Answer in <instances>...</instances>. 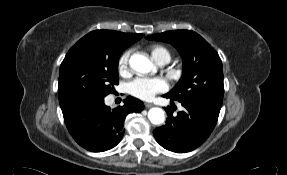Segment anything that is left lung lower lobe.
Listing matches in <instances>:
<instances>
[{
    "label": "left lung lower lobe",
    "instance_id": "obj_1",
    "mask_svg": "<svg viewBox=\"0 0 287 175\" xmlns=\"http://www.w3.org/2000/svg\"><path fill=\"white\" fill-rule=\"evenodd\" d=\"M163 97L169 98L166 94ZM173 102L172 99H170ZM183 111L173 116V111L166 108V124L153 131L156 141L165 149L186 153L199 147L212 133L218 116L208 109L189 102H180Z\"/></svg>",
    "mask_w": 287,
    "mask_h": 175
}]
</instances>
